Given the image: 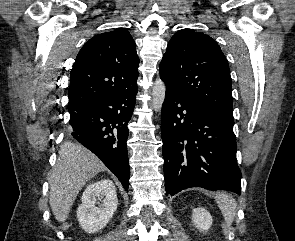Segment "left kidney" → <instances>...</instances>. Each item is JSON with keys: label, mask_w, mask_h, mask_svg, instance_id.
<instances>
[{"label": "left kidney", "mask_w": 295, "mask_h": 241, "mask_svg": "<svg viewBox=\"0 0 295 241\" xmlns=\"http://www.w3.org/2000/svg\"><path fill=\"white\" fill-rule=\"evenodd\" d=\"M212 216L205 208H194L192 214L193 225L200 231H208L212 225Z\"/></svg>", "instance_id": "5707ae66"}]
</instances>
